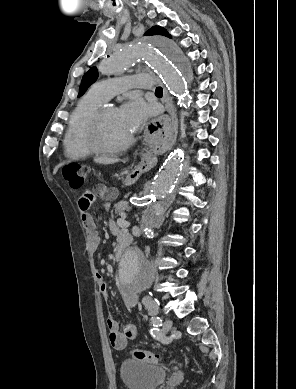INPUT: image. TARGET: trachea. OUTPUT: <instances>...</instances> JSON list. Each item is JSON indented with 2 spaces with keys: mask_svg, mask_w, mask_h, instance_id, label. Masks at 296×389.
Wrapping results in <instances>:
<instances>
[{
  "mask_svg": "<svg viewBox=\"0 0 296 389\" xmlns=\"http://www.w3.org/2000/svg\"><path fill=\"white\" fill-rule=\"evenodd\" d=\"M155 93H156L157 95H162V94H163L162 87H157Z\"/></svg>",
  "mask_w": 296,
  "mask_h": 389,
  "instance_id": "obj_1",
  "label": "trachea"
}]
</instances>
